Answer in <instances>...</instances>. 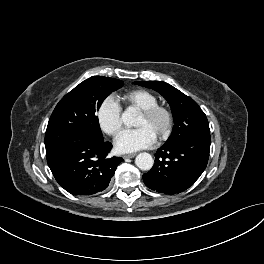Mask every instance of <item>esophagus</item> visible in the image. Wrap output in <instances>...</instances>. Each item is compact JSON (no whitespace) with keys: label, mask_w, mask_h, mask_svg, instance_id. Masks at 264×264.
Instances as JSON below:
<instances>
[{"label":"esophagus","mask_w":264,"mask_h":264,"mask_svg":"<svg viewBox=\"0 0 264 264\" xmlns=\"http://www.w3.org/2000/svg\"><path fill=\"white\" fill-rule=\"evenodd\" d=\"M135 156H136L135 153L125 154V155H123V158H124V159H128V158H134Z\"/></svg>","instance_id":"obj_1"}]
</instances>
